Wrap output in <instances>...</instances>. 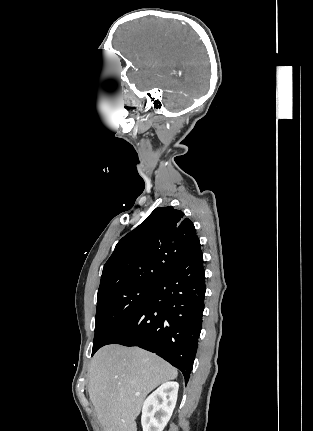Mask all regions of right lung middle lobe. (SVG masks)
<instances>
[{
    "instance_id": "1",
    "label": "right lung middle lobe",
    "mask_w": 313,
    "mask_h": 431,
    "mask_svg": "<svg viewBox=\"0 0 313 431\" xmlns=\"http://www.w3.org/2000/svg\"><path fill=\"white\" fill-rule=\"evenodd\" d=\"M157 285L113 291L97 299L92 355L104 346L130 316L147 300Z\"/></svg>"
}]
</instances>
